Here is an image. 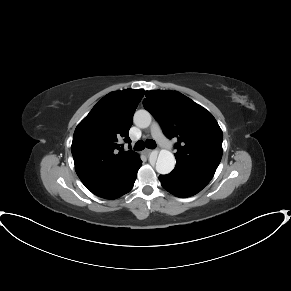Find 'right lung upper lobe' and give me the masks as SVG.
Returning a JSON list of instances; mask_svg holds the SVG:
<instances>
[{
  "label": "right lung upper lobe",
  "instance_id": "right-lung-upper-lobe-1",
  "mask_svg": "<svg viewBox=\"0 0 291 291\" xmlns=\"http://www.w3.org/2000/svg\"><path fill=\"white\" fill-rule=\"evenodd\" d=\"M143 95V89L111 92L76 127L71 152L76 173L88 189L116 181L138 159L134 151H123L120 141L131 143L128 132Z\"/></svg>",
  "mask_w": 291,
  "mask_h": 291
}]
</instances>
